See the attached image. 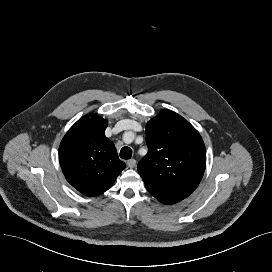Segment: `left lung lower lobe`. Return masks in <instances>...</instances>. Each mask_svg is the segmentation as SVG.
<instances>
[{"label": "left lung lower lobe", "instance_id": "obj_1", "mask_svg": "<svg viewBox=\"0 0 272 272\" xmlns=\"http://www.w3.org/2000/svg\"><path fill=\"white\" fill-rule=\"evenodd\" d=\"M146 188L156 199H158L160 202L164 204H174L186 198L177 193L164 191V190H160L156 188H150V187H146Z\"/></svg>", "mask_w": 272, "mask_h": 272}]
</instances>
